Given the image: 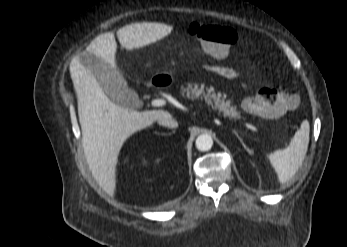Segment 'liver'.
<instances>
[{"label":"liver","instance_id":"obj_1","mask_svg":"<svg viewBox=\"0 0 347 247\" xmlns=\"http://www.w3.org/2000/svg\"><path fill=\"white\" fill-rule=\"evenodd\" d=\"M172 29L162 23H136L117 31L120 44L127 50L140 48L165 37ZM117 43L114 34L96 37L83 53L74 57L69 71L78 97V116L82 144L89 168L99 185L108 193L116 189V165L122 145L132 134L151 126L163 110L138 112L112 102L94 75L80 62L90 53L116 69Z\"/></svg>","mask_w":347,"mask_h":247}]
</instances>
